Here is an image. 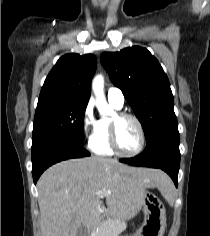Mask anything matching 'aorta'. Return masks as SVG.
Segmentation results:
<instances>
[{"label":"aorta","instance_id":"aorta-1","mask_svg":"<svg viewBox=\"0 0 210 236\" xmlns=\"http://www.w3.org/2000/svg\"><path fill=\"white\" fill-rule=\"evenodd\" d=\"M92 89L96 97V107L101 114L113 115V109L107 104L104 96V78L97 75L92 81Z\"/></svg>","mask_w":210,"mask_h":236}]
</instances>
